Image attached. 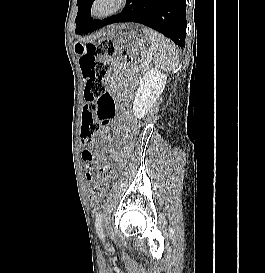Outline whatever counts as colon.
<instances>
[{
  "instance_id": "obj_1",
  "label": "colon",
  "mask_w": 265,
  "mask_h": 273,
  "mask_svg": "<svg viewBox=\"0 0 265 273\" xmlns=\"http://www.w3.org/2000/svg\"><path fill=\"white\" fill-rule=\"evenodd\" d=\"M116 52L113 40L105 38L97 46H88L80 58V66L85 80L84 97L86 105L82 114L81 136L85 141L82 146H89L81 153L82 160L87 166V178L94 180L91 198L101 196L103 184L111 171V166L104 159L97 157L96 152L105 147V142L97 139L102 130L108 126L115 116V102L107 92L104 78L107 73V64L98 59V56L112 55ZM125 64L132 60L130 50L121 53Z\"/></svg>"
}]
</instances>
